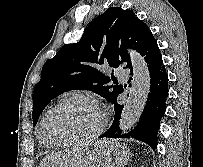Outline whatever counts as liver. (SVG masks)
Instances as JSON below:
<instances>
[{
  "mask_svg": "<svg viewBox=\"0 0 203 167\" xmlns=\"http://www.w3.org/2000/svg\"><path fill=\"white\" fill-rule=\"evenodd\" d=\"M103 143L109 141L104 140ZM113 147H124L113 143ZM84 151L66 150L64 152L52 153L42 160L40 167H78L84 160Z\"/></svg>",
  "mask_w": 203,
  "mask_h": 167,
  "instance_id": "6515ba94",
  "label": "liver"
}]
</instances>
